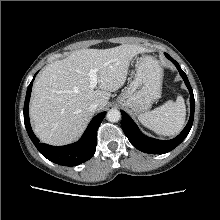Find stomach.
I'll use <instances>...</instances> for the list:
<instances>
[{
  "label": "stomach",
  "instance_id": "0dacf381",
  "mask_svg": "<svg viewBox=\"0 0 220 220\" xmlns=\"http://www.w3.org/2000/svg\"><path fill=\"white\" fill-rule=\"evenodd\" d=\"M136 73L130 85L119 95L117 103L139 114L150 109L161 96L163 69L151 56H143L136 64Z\"/></svg>",
  "mask_w": 220,
  "mask_h": 220
}]
</instances>
